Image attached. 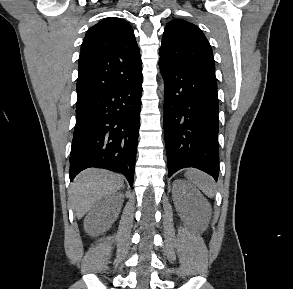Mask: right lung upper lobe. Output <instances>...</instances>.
Instances as JSON below:
<instances>
[{"instance_id": "1", "label": "right lung upper lobe", "mask_w": 293, "mask_h": 289, "mask_svg": "<svg viewBox=\"0 0 293 289\" xmlns=\"http://www.w3.org/2000/svg\"><path fill=\"white\" fill-rule=\"evenodd\" d=\"M141 76L142 61L133 29L123 19L106 18L91 27L83 40L76 106Z\"/></svg>"}]
</instances>
